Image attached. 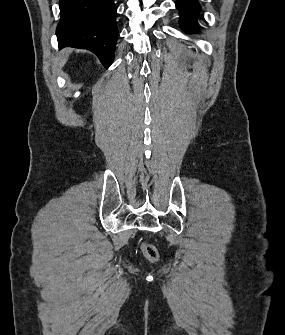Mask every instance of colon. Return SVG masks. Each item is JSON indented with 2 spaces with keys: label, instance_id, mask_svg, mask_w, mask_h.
Listing matches in <instances>:
<instances>
[{
  "label": "colon",
  "instance_id": "obj_1",
  "mask_svg": "<svg viewBox=\"0 0 285 335\" xmlns=\"http://www.w3.org/2000/svg\"><path fill=\"white\" fill-rule=\"evenodd\" d=\"M140 249L145 256L146 259H148L151 262H155L159 258V253L157 248L149 243H142L140 246Z\"/></svg>",
  "mask_w": 285,
  "mask_h": 335
}]
</instances>
